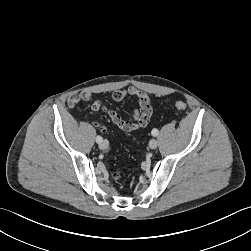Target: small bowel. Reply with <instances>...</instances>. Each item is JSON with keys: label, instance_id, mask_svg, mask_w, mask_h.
<instances>
[{"label": "small bowel", "instance_id": "1", "mask_svg": "<svg viewBox=\"0 0 251 251\" xmlns=\"http://www.w3.org/2000/svg\"><path fill=\"white\" fill-rule=\"evenodd\" d=\"M135 96L138 99L139 106L133 110L132 116L128 119L122 118V116L115 110L106 106L101 100H95L91 105L93 112L103 111L110 120L121 130L130 132L147 126L152 115V101L149 95L134 87L130 86L124 90H116L112 93V99L115 102L122 101L126 96ZM92 95L89 92H82L70 96L68 104L71 108L75 107L80 101H89Z\"/></svg>", "mask_w": 251, "mask_h": 251}]
</instances>
